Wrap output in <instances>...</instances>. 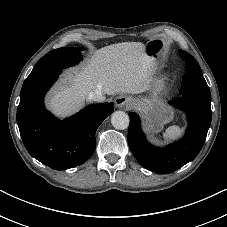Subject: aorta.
<instances>
[{
	"label": "aorta",
	"mask_w": 227,
	"mask_h": 227,
	"mask_svg": "<svg viewBox=\"0 0 227 227\" xmlns=\"http://www.w3.org/2000/svg\"><path fill=\"white\" fill-rule=\"evenodd\" d=\"M129 116L124 111H115L111 116V123L114 128L119 130L127 129L129 126Z\"/></svg>",
	"instance_id": "1"
}]
</instances>
